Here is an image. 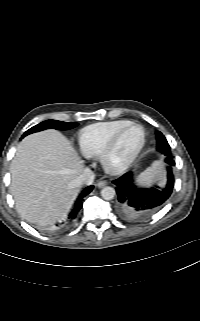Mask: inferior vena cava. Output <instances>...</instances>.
<instances>
[{
  "label": "inferior vena cava",
  "mask_w": 200,
  "mask_h": 321,
  "mask_svg": "<svg viewBox=\"0 0 200 321\" xmlns=\"http://www.w3.org/2000/svg\"><path fill=\"white\" fill-rule=\"evenodd\" d=\"M94 181V173L86 168L83 173L75 180V185L78 187H83L87 185H91Z\"/></svg>",
  "instance_id": "602c4592"
}]
</instances>
